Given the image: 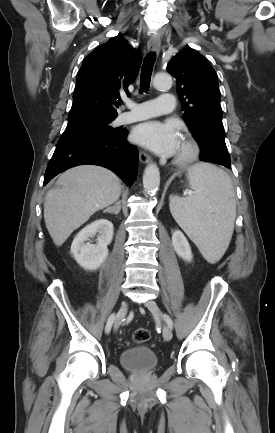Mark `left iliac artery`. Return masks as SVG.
<instances>
[{
  "label": "left iliac artery",
  "instance_id": "44dca946",
  "mask_svg": "<svg viewBox=\"0 0 275 433\" xmlns=\"http://www.w3.org/2000/svg\"><path fill=\"white\" fill-rule=\"evenodd\" d=\"M164 318H165L167 324L169 325V327L172 328L173 327V322H172L171 318L168 315H166V314L164 315Z\"/></svg>",
  "mask_w": 275,
  "mask_h": 433
}]
</instances>
